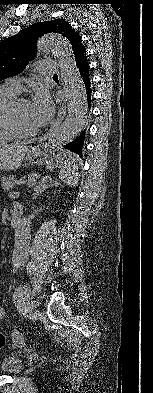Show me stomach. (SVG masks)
I'll return each mask as SVG.
<instances>
[{
	"mask_svg": "<svg viewBox=\"0 0 153 393\" xmlns=\"http://www.w3.org/2000/svg\"><path fill=\"white\" fill-rule=\"evenodd\" d=\"M54 158H56V156H54L53 151L44 144L37 143L30 147L26 146L24 159L31 165L41 166L45 163H49Z\"/></svg>",
	"mask_w": 153,
	"mask_h": 393,
	"instance_id": "0dacf381",
	"label": "stomach"
}]
</instances>
